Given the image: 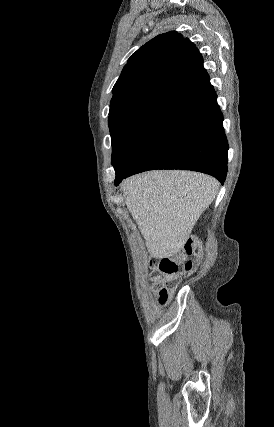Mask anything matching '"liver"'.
Here are the masks:
<instances>
[{"label": "liver", "mask_w": 274, "mask_h": 427, "mask_svg": "<svg viewBox=\"0 0 274 427\" xmlns=\"http://www.w3.org/2000/svg\"><path fill=\"white\" fill-rule=\"evenodd\" d=\"M218 186L211 176L182 170L145 172L121 184L126 206L152 257H170L180 251L197 219L213 202Z\"/></svg>", "instance_id": "obj_1"}]
</instances>
